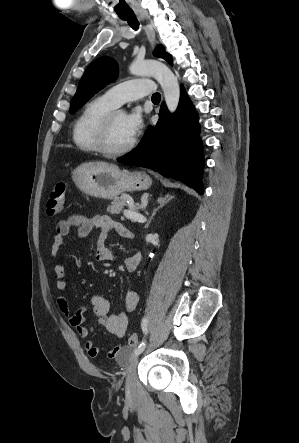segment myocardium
<instances>
[{
    "instance_id": "myocardium-1",
    "label": "myocardium",
    "mask_w": 299,
    "mask_h": 443,
    "mask_svg": "<svg viewBox=\"0 0 299 443\" xmlns=\"http://www.w3.org/2000/svg\"><path fill=\"white\" fill-rule=\"evenodd\" d=\"M119 112H121V111L115 110V109L108 112L102 118V120L99 124V127H98V131H97L98 150H99V152H101L102 154H104L108 157H118V156L124 155V154L128 153L129 151H131L137 143V139L134 137L129 144H127L126 146H124L120 149H113L110 147L109 137H110V132H111V128H112V123H113L115 115Z\"/></svg>"
}]
</instances>
